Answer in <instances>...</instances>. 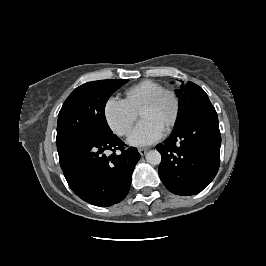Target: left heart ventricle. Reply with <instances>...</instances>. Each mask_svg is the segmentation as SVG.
Segmentation results:
<instances>
[{
  "mask_svg": "<svg viewBox=\"0 0 266 266\" xmlns=\"http://www.w3.org/2000/svg\"><path fill=\"white\" fill-rule=\"evenodd\" d=\"M174 111V102L170 96H164L157 104L143 109L140 113L142 120L153 119L163 127L171 119Z\"/></svg>",
  "mask_w": 266,
  "mask_h": 266,
  "instance_id": "left-heart-ventricle-1",
  "label": "left heart ventricle"
}]
</instances>
